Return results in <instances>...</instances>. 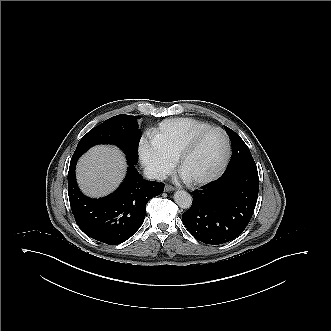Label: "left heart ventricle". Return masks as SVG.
Masks as SVG:
<instances>
[{
  "mask_svg": "<svg viewBox=\"0 0 331 331\" xmlns=\"http://www.w3.org/2000/svg\"><path fill=\"white\" fill-rule=\"evenodd\" d=\"M224 155V140L220 133L203 136L189 152L182 164V173L189 179L206 177L220 165Z\"/></svg>",
  "mask_w": 331,
  "mask_h": 331,
  "instance_id": "1",
  "label": "left heart ventricle"
}]
</instances>
